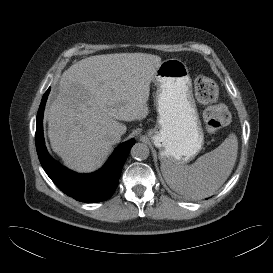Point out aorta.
<instances>
[{
	"label": "aorta",
	"mask_w": 273,
	"mask_h": 273,
	"mask_svg": "<svg viewBox=\"0 0 273 273\" xmlns=\"http://www.w3.org/2000/svg\"><path fill=\"white\" fill-rule=\"evenodd\" d=\"M131 156L137 160H145L149 156V147L144 143H136L131 148Z\"/></svg>",
	"instance_id": "aorta-1"
}]
</instances>
